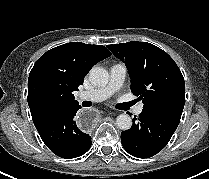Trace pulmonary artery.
I'll use <instances>...</instances> for the list:
<instances>
[{"label":"pulmonary artery","instance_id":"obj_1","mask_svg":"<svg viewBox=\"0 0 209 179\" xmlns=\"http://www.w3.org/2000/svg\"><path fill=\"white\" fill-rule=\"evenodd\" d=\"M127 69L124 64L117 63L110 68V80L106 86L93 89L91 91L81 92L78 96L79 100H87L91 102H101L109 98L114 92L119 90L126 77ZM143 106L138 105L135 108L137 115L142 113Z\"/></svg>","mask_w":209,"mask_h":179}]
</instances>
